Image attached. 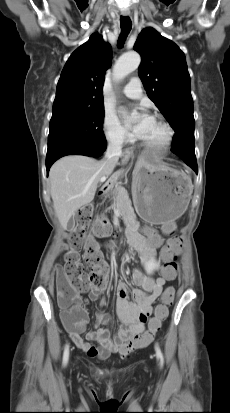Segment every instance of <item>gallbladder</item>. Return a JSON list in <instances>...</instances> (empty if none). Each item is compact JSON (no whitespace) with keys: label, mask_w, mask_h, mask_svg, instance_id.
<instances>
[{"label":"gallbladder","mask_w":230,"mask_h":413,"mask_svg":"<svg viewBox=\"0 0 230 413\" xmlns=\"http://www.w3.org/2000/svg\"><path fill=\"white\" fill-rule=\"evenodd\" d=\"M75 227V222L73 220H70L67 224V228L69 230H72Z\"/></svg>","instance_id":"bac80fb5"}]
</instances>
